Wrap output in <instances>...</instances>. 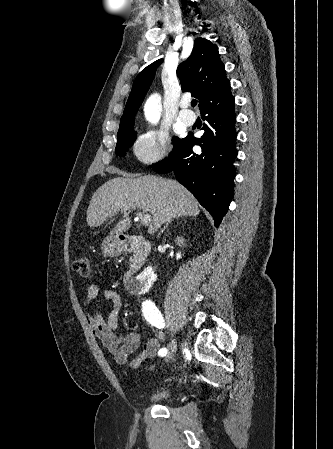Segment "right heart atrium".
Wrapping results in <instances>:
<instances>
[{
    "mask_svg": "<svg viewBox=\"0 0 333 449\" xmlns=\"http://www.w3.org/2000/svg\"><path fill=\"white\" fill-rule=\"evenodd\" d=\"M169 147L168 136L157 131H147L140 134L134 142L133 153L136 158L146 164L162 161Z\"/></svg>",
    "mask_w": 333,
    "mask_h": 449,
    "instance_id": "1",
    "label": "right heart atrium"
}]
</instances>
